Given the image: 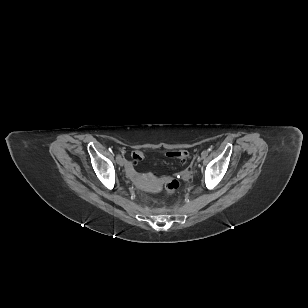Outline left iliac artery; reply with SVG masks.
<instances>
[{
  "mask_svg": "<svg viewBox=\"0 0 308 308\" xmlns=\"http://www.w3.org/2000/svg\"><path fill=\"white\" fill-rule=\"evenodd\" d=\"M207 154H208L207 151H203V152H202V155H203V156H207Z\"/></svg>",
  "mask_w": 308,
  "mask_h": 308,
  "instance_id": "1",
  "label": "left iliac artery"
}]
</instances>
